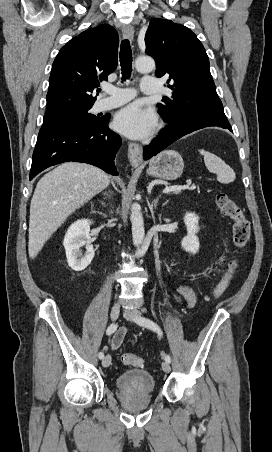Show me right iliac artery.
<instances>
[{"mask_svg":"<svg viewBox=\"0 0 272 452\" xmlns=\"http://www.w3.org/2000/svg\"><path fill=\"white\" fill-rule=\"evenodd\" d=\"M116 329H117V325H116L115 323H112V324H110L109 327L107 328L106 334H107V335H111V334H113V333L116 331ZM98 357H99L100 359H103V358H104L103 352H100L99 355H98Z\"/></svg>","mask_w":272,"mask_h":452,"instance_id":"right-iliac-artery-1","label":"right iliac artery"}]
</instances>
